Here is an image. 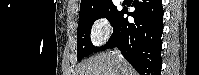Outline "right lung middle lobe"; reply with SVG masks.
Listing matches in <instances>:
<instances>
[{"label":"right lung middle lobe","mask_w":199,"mask_h":75,"mask_svg":"<svg viewBox=\"0 0 199 75\" xmlns=\"http://www.w3.org/2000/svg\"><path fill=\"white\" fill-rule=\"evenodd\" d=\"M120 14L121 11H118L116 6L110 1L85 14L79 15L77 29L78 61L92 53H96L100 49L99 47H94L90 40V31L94 21L99 18H106L114 28Z\"/></svg>","instance_id":"1"}]
</instances>
